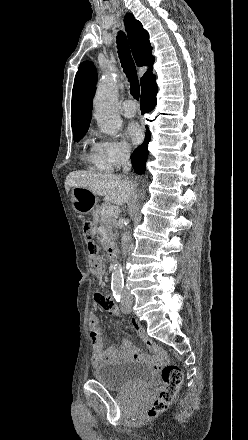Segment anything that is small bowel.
I'll return each instance as SVG.
<instances>
[{
    "instance_id": "small-bowel-1",
    "label": "small bowel",
    "mask_w": 248,
    "mask_h": 440,
    "mask_svg": "<svg viewBox=\"0 0 248 440\" xmlns=\"http://www.w3.org/2000/svg\"><path fill=\"white\" fill-rule=\"evenodd\" d=\"M94 298L96 303L103 309L107 310L112 316L118 315L117 308L103 293L96 292ZM132 326L139 333L143 343L151 351L149 360L155 365L163 363L166 359L165 352L160 347L153 344L140 326L135 323H133ZM89 331L92 342L91 363L93 367H98L104 362H113L129 357L134 359L144 357L142 352L127 340L124 341L122 348H117L113 345L105 347L102 331L99 327V321L94 313H90L89 315Z\"/></svg>"
}]
</instances>
